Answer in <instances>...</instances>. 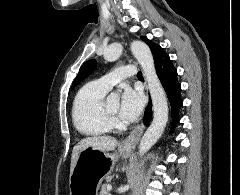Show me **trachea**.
Here are the masks:
<instances>
[{
    "label": "trachea",
    "mask_w": 240,
    "mask_h": 195,
    "mask_svg": "<svg viewBox=\"0 0 240 195\" xmlns=\"http://www.w3.org/2000/svg\"><path fill=\"white\" fill-rule=\"evenodd\" d=\"M137 78L143 79L142 72H138V73H137Z\"/></svg>",
    "instance_id": "obj_1"
}]
</instances>
